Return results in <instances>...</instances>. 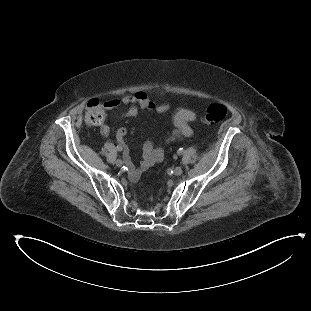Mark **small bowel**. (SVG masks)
Here are the masks:
<instances>
[{
  "instance_id": "c3829d8e",
  "label": "small bowel",
  "mask_w": 311,
  "mask_h": 311,
  "mask_svg": "<svg viewBox=\"0 0 311 311\" xmlns=\"http://www.w3.org/2000/svg\"><path fill=\"white\" fill-rule=\"evenodd\" d=\"M121 106L125 107V111L120 114L121 119L135 117L141 109L150 110L155 114H165L171 109V106L167 103H154L144 93L126 95L120 99H110L104 102V108L108 110L117 109ZM196 119L197 115L194 111L185 108L177 109L173 117L174 128L165 137L164 144L155 146L150 141H147L143 146V157L139 168L134 174H140L162 161L165 155V145L171 144L182 137H190L193 133L190 123ZM100 132L103 136H108L110 127L107 124H103L100 127ZM126 133V128L120 127L115 133L117 141L123 144Z\"/></svg>"
}]
</instances>
